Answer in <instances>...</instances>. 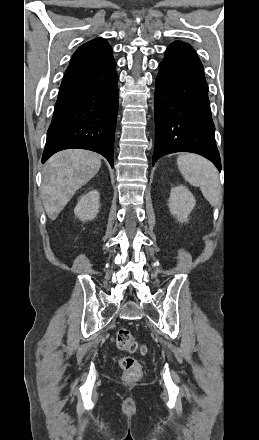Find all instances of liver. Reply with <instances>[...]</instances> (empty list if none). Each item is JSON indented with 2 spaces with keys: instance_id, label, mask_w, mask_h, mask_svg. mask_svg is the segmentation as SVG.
I'll use <instances>...</instances> for the list:
<instances>
[{
  "instance_id": "6515ba94",
  "label": "liver",
  "mask_w": 259,
  "mask_h": 440,
  "mask_svg": "<svg viewBox=\"0 0 259 440\" xmlns=\"http://www.w3.org/2000/svg\"><path fill=\"white\" fill-rule=\"evenodd\" d=\"M101 167V156L82 149H69L54 154L45 164L42 200L45 211L55 220L75 192L88 183Z\"/></svg>"
}]
</instances>
